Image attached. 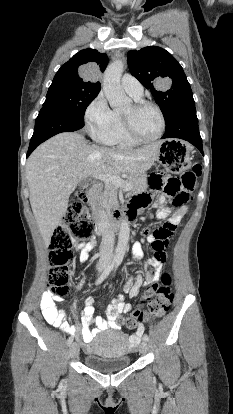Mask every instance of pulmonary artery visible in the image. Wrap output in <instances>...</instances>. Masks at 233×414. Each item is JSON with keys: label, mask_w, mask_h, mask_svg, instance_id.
<instances>
[{"label": "pulmonary artery", "mask_w": 233, "mask_h": 414, "mask_svg": "<svg viewBox=\"0 0 233 414\" xmlns=\"http://www.w3.org/2000/svg\"><path fill=\"white\" fill-rule=\"evenodd\" d=\"M123 90L133 98H141L143 95L142 84L131 74H125L121 79Z\"/></svg>", "instance_id": "1"}]
</instances>
